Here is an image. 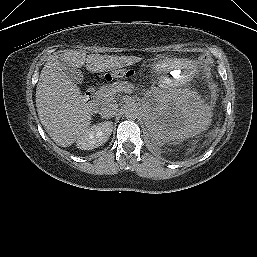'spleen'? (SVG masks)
Listing matches in <instances>:
<instances>
[{
  "mask_svg": "<svg viewBox=\"0 0 257 257\" xmlns=\"http://www.w3.org/2000/svg\"><path fill=\"white\" fill-rule=\"evenodd\" d=\"M218 131H219V129H218V127H216V129L210 134V139H209V141L204 142V145L208 144V143L211 141V138L216 137Z\"/></svg>",
  "mask_w": 257,
  "mask_h": 257,
  "instance_id": "obj_1",
  "label": "spleen"
}]
</instances>
